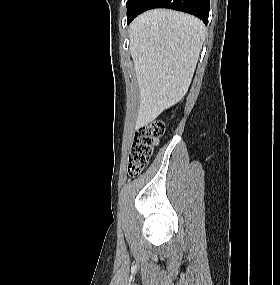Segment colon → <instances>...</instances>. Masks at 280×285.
I'll list each match as a JSON object with an SVG mask.
<instances>
[{
  "label": "colon",
  "mask_w": 280,
  "mask_h": 285,
  "mask_svg": "<svg viewBox=\"0 0 280 285\" xmlns=\"http://www.w3.org/2000/svg\"><path fill=\"white\" fill-rule=\"evenodd\" d=\"M163 133L161 122L147 123L138 129L128 157V173L131 177L137 176L149 164Z\"/></svg>",
  "instance_id": "1"
}]
</instances>
